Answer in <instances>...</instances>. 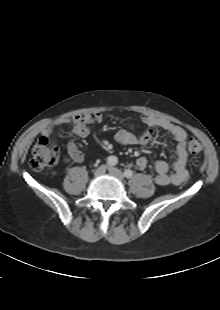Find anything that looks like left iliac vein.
Segmentation results:
<instances>
[{
  "instance_id": "obj_1",
  "label": "left iliac vein",
  "mask_w": 220,
  "mask_h": 310,
  "mask_svg": "<svg viewBox=\"0 0 220 310\" xmlns=\"http://www.w3.org/2000/svg\"><path fill=\"white\" fill-rule=\"evenodd\" d=\"M109 173H110V175L116 177L119 180H123V178H124V174L119 169H117L115 167H110Z\"/></svg>"
}]
</instances>
